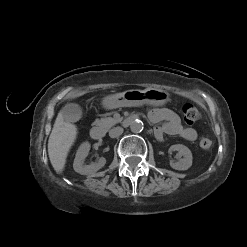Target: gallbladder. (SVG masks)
I'll list each match as a JSON object with an SVG mask.
<instances>
[{
  "label": "gallbladder",
  "instance_id": "bac80fb5",
  "mask_svg": "<svg viewBox=\"0 0 247 247\" xmlns=\"http://www.w3.org/2000/svg\"><path fill=\"white\" fill-rule=\"evenodd\" d=\"M63 119L66 122H76L82 116L81 107L78 104H67L62 110Z\"/></svg>",
  "mask_w": 247,
  "mask_h": 247
}]
</instances>
